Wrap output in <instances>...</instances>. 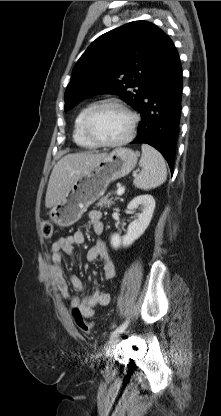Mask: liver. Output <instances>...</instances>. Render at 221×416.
<instances>
[{
  "label": "liver",
  "mask_w": 221,
  "mask_h": 416,
  "mask_svg": "<svg viewBox=\"0 0 221 416\" xmlns=\"http://www.w3.org/2000/svg\"><path fill=\"white\" fill-rule=\"evenodd\" d=\"M107 153L80 152L67 154L54 166L45 198L46 208L54 207L79 175L103 159Z\"/></svg>",
  "instance_id": "1"
}]
</instances>
